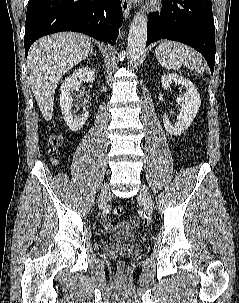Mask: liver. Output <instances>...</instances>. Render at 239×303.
Returning a JSON list of instances; mask_svg holds the SVG:
<instances>
[{"mask_svg":"<svg viewBox=\"0 0 239 303\" xmlns=\"http://www.w3.org/2000/svg\"><path fill=\"white\" fill-rule=\"evenodd\" d=\"M91 46L90 37L73 32L52 34L31 46L28 81L46 121L52 119L54 93L61 77L88 57Z\"/></svg>","mask_w":239,"mask_h":303,"instance_id":"obj_1","label":"liver"}]
</instances>
